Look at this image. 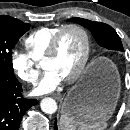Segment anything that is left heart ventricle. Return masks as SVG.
Here are the masks:
<instances>
[{
  "instance_id": "left-heart-ventricle-1",
  "label": "left heart ventricle",
  "mask_w": 130,
  "mask_h": 130,
  "mask_svg": "<svg viewBox=\"0 0 130 130\" xmlns=\"http://www.w3.org/2000/svg\"><path fill=\"white\" fill-rule=\"evenodd\" d=\"M84 52V39L73 29L65 31L60 39L57 54L43 62L45 70H54L63 79L70 76L78 67Z\"/></svg>"
}]
</instances>
